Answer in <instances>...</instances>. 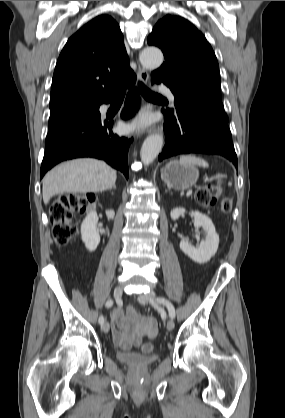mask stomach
I'll use <instances>...</instances> for the list:
<instances>
[{"mask_svg": "<svg viewBox=\"0 0 285 418\" xmlns=\"http://www.w3.org/2000/svg\"><path fill=\"white\" fill-rule=\"evenodd\" d=\"M199 177L194 165H183L177 160L170 161L161 170V178L169 188L185 190L193 186Z\"/></svg>", "mask_w": 285, "mask_h": 418, "instance_id": "0dacf381", "label": "stomach"}]
</instances>
